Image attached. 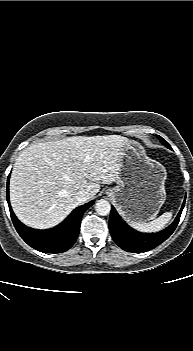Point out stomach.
Returning <instances> with one entry per match:
<instances>
[{
    "mask_svg": "<svg viewBox=\"0 0 193 351\" xmlns=\"http://www.w3.org/2000/svg\"><path fill=\"white\" fill-rule=\"evenodd\" d=\"M121 152L117 185L106 194L125 219L133 222L152 220L166 200V169L149 158L136 141L127 139Z\"/></svg>",
    "mask_w": 193,
    "mask_h": 351,
    "instance_id": "obj_1",
    "label": "stomach"
}]
</instances>
